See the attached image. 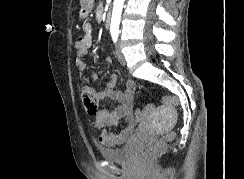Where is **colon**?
I'll return each mask as SVG.
<instances>
[{"label": "colon", "mask_w": 244, "mask_h": 179, "mask_svg": "<svg viewBox=\"0 0 244 179\" xmlns=\"http://www.w3.org/2000/svg\"><path fill=\"white\" fill-rule=\"evenodd\" d=\"M81 101L84 104L86 112L89 115L96 114L98 110V105L95 99V92L93 87L84 86L80 90ZM164 102L171 107H174L177 104L176 96H165ZM155 109V104H146V107H136L134 111V116L136 118V123H147V119L150 118V112H153ZM167 137H160V142H155V147H149V150H145L143 157L144 158H153L154 155H158V152H163L166 147V142H170V138H174V133H167Z\"/></svg>", "instance_id": "5ec220e1"}]
</instances>
